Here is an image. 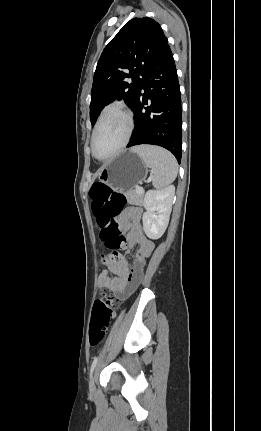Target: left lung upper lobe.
<instances>
[{"label":"left lung upper lobe","instance_id":"obj_1","mask_svg":"<svg viewBox=\"0 0 261 431\" xmlns=\"http://www.w3.org/2000/svg\"><path fill=\"white\" fill-rule=\"evenodd\" d=\"M166 46L167 38L153 19L133 18L121 28L97 63L91 90L92 124L116 98L124 99L133 109L148 69ZM126 78L132 82L124 81Z\"/></svg>","mask_w":261,"mask_h":431}]
</instances>
